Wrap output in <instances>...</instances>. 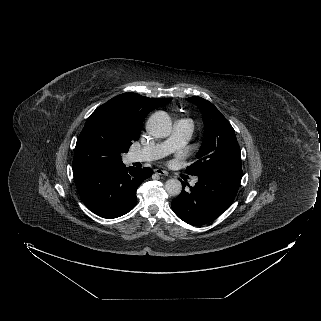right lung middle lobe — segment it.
I'll return each instance as SVG.
<instances>
[{"instance_id": "right-lung-middle-lobe-1", "label": "right lung middle lobe", "mask_w": 321, "mask_h": 321, "mask_svg": "<svg viewBox=\"0 0 321 321\" xmlns=\"http://www.w3.org/2000/svg\"><path fill=\"white\" fill-rule=\"evenodd\" d=\"M131 144L108 117L92 114L77 139L73 172L119 164L121 154L128 152Z\"/></svg>"}]
</instances>
